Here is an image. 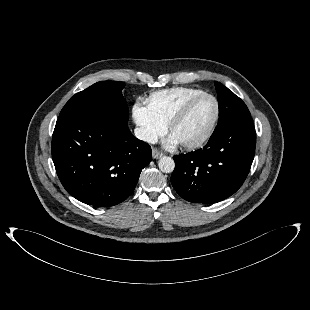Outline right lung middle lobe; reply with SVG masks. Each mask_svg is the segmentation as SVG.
Wrapping results in <instances>:
<instances>
[{"label": "right lung middle lobe", "mask_w": 310, "mask_h": 310, "mask_svg": "<svg viewBox=\"0 0 310 310\" xmlns=\"http://www.w3.org/2000/svg\"><path fill=\"white\" fill-rule=\"evenodd\" d=\"M125 86L119 81H101L75 94L66 103L60 116L75 112H104L128 121L129 110L122 96Z\"/></svg>", "instance_id": "dd1d6c3e"}]
</instances>
